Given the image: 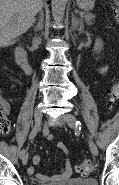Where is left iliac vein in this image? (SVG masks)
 <instances>
[{"label":"left iliac vein","mask_w":119,"mask_h":185,"mask_svg":"<svg viewBox=\"0 0 119 185\" xmlns=\"http://www.w3.org/2000/svg\"><path fill=\"white\" fill-rule=\"evenodd\" d=\"M62 121L66 122V124L73 128V129H76L78 130L77 126H76V118L72 115V114H64L61 116L60 118ZM80 130V129H79ZM88 140V144H89V148L91 150V153L93 154V156H97L98 154V149H97V146L96 144L90 139V138H87Z\"/></svg>","instance_id":"1"}]
</instances>
